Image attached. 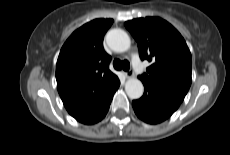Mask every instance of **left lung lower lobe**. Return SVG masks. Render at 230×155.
Wrapping results in <instances>:
<instances>
[{
	"mask_svg": "<svg viewBox=\"0 0 230 155\" xmlns=\"http://www.w3.org/2000/svg\"><path fill=\"white\" fill-rule=\"evenodd\" d=\"M144 85L143 96L132 102L136 115L146 123L157 124L168 119L180 106L181 102L166 95L157 88Z\"/></svg>",
	"mask_w": 230,
	"mask_h": 155,
	"instance_id": "left-lung-lower-lobe-1",
	"label": "left lung lower lobe"
}]
</instances>
